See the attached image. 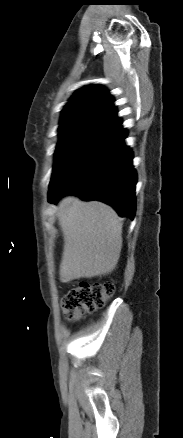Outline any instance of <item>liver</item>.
Returning a JSON list of instances; mask_svg holds the SVG:
<instances>
[{
    "label": "liver",
    "instance_id": "1",
    "mask_svg": "<svg viewBox=\"0 0 183 438\" xmlns=\"http://www.w3.org/2000/svg\"><path fill=\"white\" fill-rule=\"evenodd\" d=\"M57 216L64 236L60 281L111 273L122 248V221L108 205L63 198Z\"/></svg>",
    "mask_w": 183,
    "mask_h": 438
}]
</instances>
